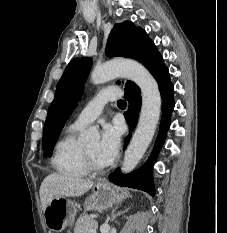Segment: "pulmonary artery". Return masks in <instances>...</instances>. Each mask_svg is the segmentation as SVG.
Here are the masks:
<instances>
[{
	"label": "pulmonary artery",
	"instance_id": "e3ab8cb5",
	"mask_svg": "<svg viewBox=\"0 0 227 233\" xmlns=\"http://www.w3.org/2000/svg\"><path fill=\"white\" fill-rule=\"evenodd\" d=\"M119 94L120 92L116 88L101 90L79 113L72 125L80 129L88 126L101 115L105 104L116 100Z\"/></svg>",
	"mask_w": 227,
	"mask_h": 233
}]
</instances>
